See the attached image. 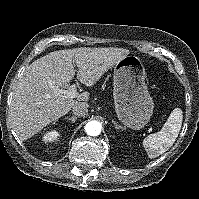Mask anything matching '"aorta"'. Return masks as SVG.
Returning <instances> with one entry per match:
<instances>
[{
    "mask_svg": "<svg viewBox=\"0 0 199 199\" xmlns=\"http://www.w3.org/2000/svg\"><path fill=\"white\" fill-rule=\"evenodd\" d=\"M101 124L98 121H89L85 125V132L91 136H97L101 132Z\"/></svg>",
    "mask_w": 199,
    "mask_h": 199,
    "instance_id": "762f6f07",
    "label": "aorta"
}]
</instances>
